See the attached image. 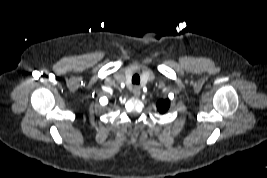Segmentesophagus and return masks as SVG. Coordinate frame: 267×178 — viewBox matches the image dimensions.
Masks as SVG:
<instances>
[{
    "label": "esophagus",
    "mask_w": 267,
    "mask_h": 178,
    "mask_svg": "<svg viewBox=\"0 0 267 178\" xmlns=\"http://www.w3.org/2000/svg\"><path fill=\"white\" fill-rule=\"evenodd\" d=\"M132 93L134 94V96L138 97L141 94L140 88L138 86H134Z\"/></svg>",
    "instance_id": "1"
}]
</instances>
